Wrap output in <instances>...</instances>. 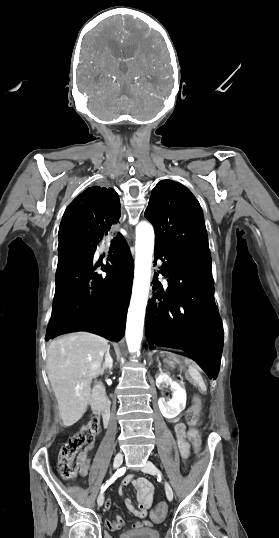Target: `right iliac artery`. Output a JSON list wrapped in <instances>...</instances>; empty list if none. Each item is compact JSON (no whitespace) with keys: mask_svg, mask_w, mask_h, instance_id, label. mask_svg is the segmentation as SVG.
<instances>
[{"mask_svg":"<svg viewBox=\"0 0 279 538\" xmlns=\"http://www.w3.org/2000/svg\"><path fill=\"white\" fill-rule=\"evenodd\" d=\"M126 471V468L125 467H122L120 469H118L115 474L101 487V493H103L106 488L112 484L118 477L122 476Z\"/></svg>","mask_w":279,"mask_h":538,"instance_id":"obj_1","label":"right iliac artery"}]
</instances>
